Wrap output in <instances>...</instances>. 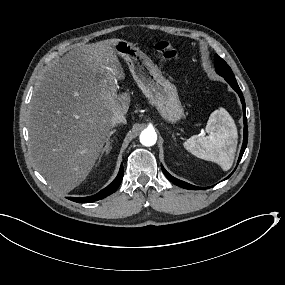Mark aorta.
<instances>
[{
    "instance_id": "aorta-1",
    "label": "aorta",
    "mask_w": 285,
    "mask_h": 285,
    "mask_svg": "<svg viewBox=\"0 0 285 285\" xmlns=\"http://www.w3.org/2000/svg\"><path fill=\"white\" fill-rule=\"evenodd\" d=\"M157 141V135L154 129L146 128L140 134V143L145 147L153 146Z\"/></svg>"
}]
</instances>
